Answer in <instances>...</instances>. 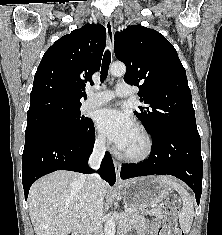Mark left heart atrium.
<instances>
[{"mask_svg": "<svg viewBox=\"0 0 222 235\" xmlns=\"http://www.w3.org/2000/svg\"><path fill=\"white\" fill-rule=\"evenodd\" d=\"M96 125L99 132L119 150L125 149L135 131L130 114L115 108L100 110L96 116Z\"/></svg>", "mask_w": 222, "mask_h": 235, "instance_id": "1", "label": "left heart atrium"}]
</instances>
